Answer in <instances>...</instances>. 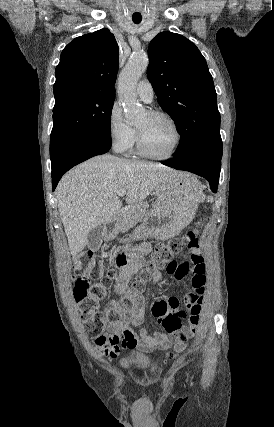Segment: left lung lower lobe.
I'll return each instance as SVG.
<instances>
[{"label":"left lung lower lobe","instance_id":"1","mask_svg":"<svg viewBox=\"0 0 274 427\" xmlns=\"http://www.w3.org/2000/svg\"><path fill=\"white\" fill-rule=\"evenodd\" d=\"M222 141L214 140L200 146L196 150L162 162L163 164L185 170L207 179L211 190L216 193L221 170Z\"/></svg>","mask_w":274,"mask_h":427}]
</instances>
